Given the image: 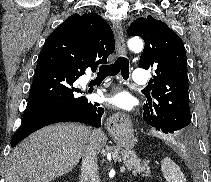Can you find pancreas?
I'll return each mask as SVG.
<instances>
[{"label":"pancreas","instance_id":"1","mask_svg":"<svg viewBox=\"0 0 211 182\" xmlns=\"http://www.w3.org/2000/svg\"><path fill=\"white\" fill-rule=\"evenodd\" d=\"M110 151L114 162H122L128 169H134L133 174L144 172L146 175H150L151 170L147 163L141 164V160L136 156V153L129 149H123L119 146H111L107 148Z\"/></svg>","mask_w":211,"mask_h":182}]
</instances>
